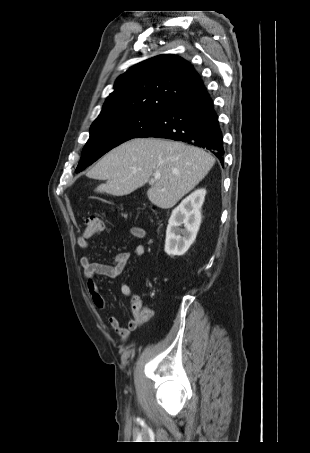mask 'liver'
Here are the masks:
<instances>
[{
  "instance_id": "obj_1",
  "label": "liver",
  "mask_w": 310,
  "mask_h": 453,
  "mask_svg": "<svg viewBox=\"0 0 310 453\" xmlns=\"http://www.w3.org/2000/svg\"><path fill=\"white\" fill-rule=\"evenodd\" d=\"M215 158L203 149L159 138H135L112 149L87 173L106 180L96 192L124 196L147 182L150 202L172 208L210 171ZM160 174L155 180L152 176Z\"/></svg>"
}]
</instances>
